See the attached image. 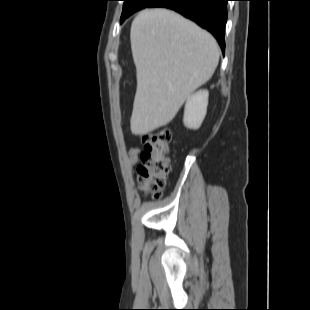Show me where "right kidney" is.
Instances as JSON below:
<instances>
[{
  "mask_svg": "<svg viewBox=\"0 0 310 310\" xmlns=\"http://www.w3.org/2000/svg\"><path fill=\"white\" fill-rule=\"evenodd\" d=\"M208 91L201 90L188 97L184 111V125L190 129H198L207 112Z\"/></svg>",
  "mask_w": 310,
  "mask_h": 310,
  "instance_id": "1",
  "label": "right kidney"
}]
</instances>
